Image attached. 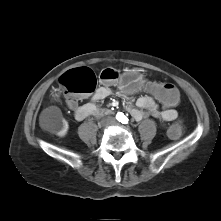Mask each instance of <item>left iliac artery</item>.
Returning a JSON list of instances; mask_svg holds the SVG:
<instances>
[{
	"label": "left iliac artery",
	"mask_w": 221,
	"mask_h": 221,
	"mask_svg": "<svg viewBox=\"0 0 221 221\" xmlns=\"http://www.w3.org/2000/svg\"><path fill=\"white\" fill-rule=\"evenodd\" d=\"M120 121H121L123 124H127L129 120H128V118H127L126 116L123 115V116L121 117Z\"/></svg>",
	"instance_id": "obj_1"
}]
</instances>
